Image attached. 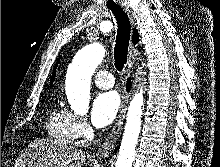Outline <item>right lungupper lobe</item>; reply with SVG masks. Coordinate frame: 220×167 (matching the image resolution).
Returning <instances> with one entry per match:
<instances>
[{"label": "right lung upper lobe", "instance_id": "1", "mask_svg": "<svg viewBox=\"0 0 220 167\" xmlns=\"http://www.w3.org/2000/svg\"><path fill=\"white\" fill-rule=\"evenodd\" d=\"M138 41H139V33H138V31H137L136 29H134V31H133V36H132V42H133L134 44H136ZM58 63H59V60H58L57 64H58ZM57 64H56V66H57ZM56 66H55V68H54V71H53V74H52V77H51V83L54 81V78H55V69H56Z\"/></svg>", "mask_w": 220, "mask_h": 167}]
</instances>
